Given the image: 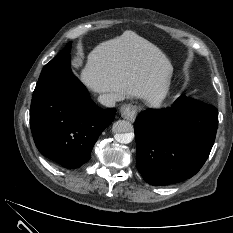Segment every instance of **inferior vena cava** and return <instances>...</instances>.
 Instances as JSON below:
<instances>
[{"mask_svg": "<svg viewBox=\"0 0 233 233\" xmlns=\"http://www.w3.org/2000/svg\"><path fill=\"white\" fill-rule=\"evenodd\" d=\"M119 100H121L120 96L114 93L102 94L98 97V101L106 107H114Z\"/></svg>", "mask_w": 233, "mask_h": 233, "instance_id": "obj_1", "label": "inferior vena cava"}]
</instances>
